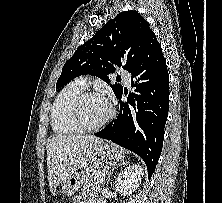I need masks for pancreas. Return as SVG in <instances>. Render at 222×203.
Listing matches in <instances>:
<instances>
[{
    "label": "pancreas",
    "mask_w": 222,
    "mask_h": 203,
    "mask_svg": "<svg viewBox=\"0 0 222 203\" xmlns=\"http://www.w3.org/2000/svg\"><path fill=\"white\" fill-rule=\"evenodd\" d=\"M105 173L104 162H98L85 172L82 184L90 185L92 183H100Z\"/></svg>",
    "instance_id": "1"
}]
</instances>
